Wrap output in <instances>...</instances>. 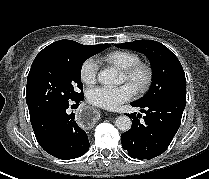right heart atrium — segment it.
<instances>
[{"instance_id":"obj_1","label":"right heart atrium","mask_w":209,"mask_h":179,"mask_svg":"<svg viewBox=\"0 0 209 179\" xmlns=\"http://www.w3.org/2000/svg\"><path fill=\"white\" fill-rule=\"evenodd\" d=\"M98 68L96 60L92 58L85 60L82 63L79 72L81 81L88 86L95 84L97 80Z\"/></svg>"}]
</instances>
